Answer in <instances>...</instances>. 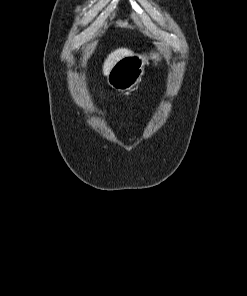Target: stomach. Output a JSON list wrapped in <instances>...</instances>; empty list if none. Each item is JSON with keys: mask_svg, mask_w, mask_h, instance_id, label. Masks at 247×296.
<instances>
[{"mask_svg": "<svg viewBox=\"0 0 247 296\" xmlns=\"http://www.w3.org/2000/svg\"><path fill=\"white\" fill-rule=\"evenodd\" d=\"M150 58L161 60L159 53H151ZM148 57L144 54H130L118 60L110 69L107 76V84L117 91L132 90L141 80L144 74V66Z\"/></svg>", "mask_w": 247, "mask_h": 296, "instance_id": "1", "label": "stomach"}]
</instances>
